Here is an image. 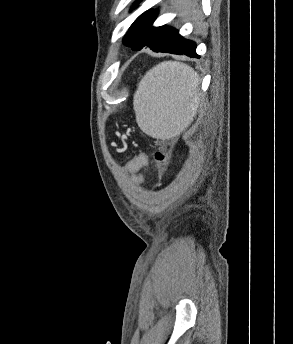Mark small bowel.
Returning a JSON list of instances; mask_svg holds the SVG:
<instances>
[{
	"instance_id": "c3829d8e",
	"label": "small bowel",
	"mask_w": 293,
	"mask_h": 344,
	"mask_svg": "<svg viewBox=\"0 0 293 344\" xmlns=\"http://www.w3.org/2000/svg\"><path fill=\"white\" fill-rule=\"evenodd\" d=\"M149 164L148 158L145 154L136 155L128 165V171L133 175V181L136 185L144 183L145 178L140 171Z\"/></svg>"
}]
</instances>
